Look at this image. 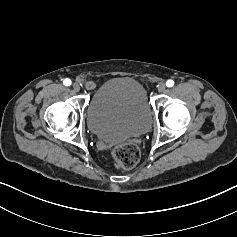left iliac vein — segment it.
<instances>
[{"label": "left iliac vein", "instance_id": "left-iliac-vein-1", "mask_svg": "<svg viewBox=\"0 0 237 237\" xmlns=\"http://www.w3.org/2000/svg\"><path fill=\"white\" fill-rule=\"evenodd\" d=\"M166 90V85L164 83L160 84L158 87V92L159 93H164Z\"/></svg>", "mask_w": 237, "mask_h": 237}]
</instances>
